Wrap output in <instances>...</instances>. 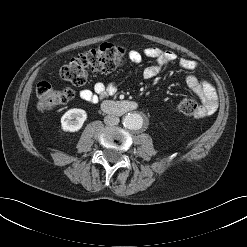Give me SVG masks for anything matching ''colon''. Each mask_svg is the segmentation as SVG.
<instances>
[{
	"label": "colon",
	"instance_id": "5ec220e1",
	"mask_svg": "<svg viewBox=\"0 0 247 247\" xmlns=\"http://www.w3.org/2000/svg\"><path fill=\"white\" fill-rule=\"evenodd\" d=\"M125 50L121 47L103 44L88 50L71 59L60 69L62 79L75 86L86 83L90 73H109L122 65ZM38 106L41 109H52L66 104L73 97L70 89H56L49 81H41L36 87ZM176 110L186 116L197 112V103L191 98L182 99L176 104Z\"/></svg>",
	"mask_w": 247,
	"mask_h": 247
}]
</instances>
